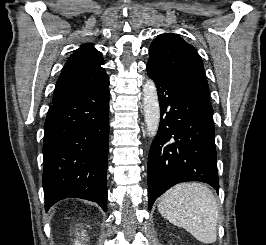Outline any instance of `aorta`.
Wrapping results in <instances>:
<instances>
[{
	"mask_svg": "<svg viewBox=\"0 0 266 245\" xmlns=\"http://www.w3.org/2000/svg\"><path fill=\"white\" fill-rule=\"evenodd\" d=\"M144 123L148 137H156L160 123V104L157 88L152 78H147L143 84Z\"/></svg>",
	"mask_w": 266,
	"mask_h": 245,
	"instance_id": "762f6f07",
	"label": "aorta"
}]
</instances>
